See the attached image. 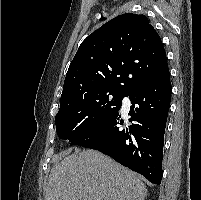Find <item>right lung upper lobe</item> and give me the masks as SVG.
<instances>
[{
  "mask_svg": "<svg viewBox=\"0 0 201 200\" xmlns=\"http://www.w3.org/2000/svg\"><path fill=\"white\" fill-rule=\"evenodd\" d=\"M168 71L162 41L147 17L122 14L81 43L67 71L60 103L97 91L129 95Z\"/></svg>",
  "mask_w": 201,
  "mask_h": 200,
  "instance_id": "cb5924a9",
  "label": "right lung upper lobe"
}]
</instances>
